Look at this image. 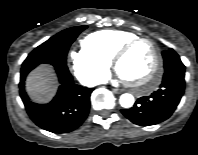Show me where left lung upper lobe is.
<instances>
[{
	"mask_svg": "<svg viewBox=\"0 0 198 155\" xmlns=\"http://www.w3.org/2000/svg\"><path fill=\"white\" fill-rule=\"evenodd\" d=\"M164 58V69L165 71L169 70L170 68L174 66H183V63L180 60L179 55L173 50L168 49L166 51H163L162 53Z\"/></svg>",
	"mask_w": 198,
	"mask_h": 155,
	"instance_id": "1",
	"label": "left lung upper lobe"
}]
</instances>
